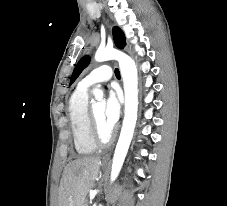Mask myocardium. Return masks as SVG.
Instances as JSON below:
<instances>
[{"instance_id":"1","label":"myocardium","mask_w":227,"mask_h":206,"mask_svg":"<svg viewBox=\"0 0 227 206\" xmlns=\"http://www.w3.org/2000/svg\"><path fill=\"white\" fill-rule=\"evenodd\" d=\"M89 129L90 135L94 143L98 146L109 145L114 138V131L112 130L107 137H103L100 133L98 123L93 111V107H89Z\"/></svg>"}]
</instances>
